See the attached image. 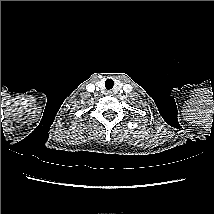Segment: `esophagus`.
Returning <instances> with one entry per match:
<instances>
[{
    "mask_svg": "<svg viewBox=\"0 0 214 214\" xmlns=\"http://www.w3.org/2000/svg\"><path fill=\"white\" fill-rule=\"evenodd\" d=\"M107 94H108V95H111V94H112V91H107Z\"/></svg>",
    "mask_w": 214,
    "mask_h": 214,
    "instance_id": "esophagus-1",
    "label": "esophagus"
}]
</instances>
